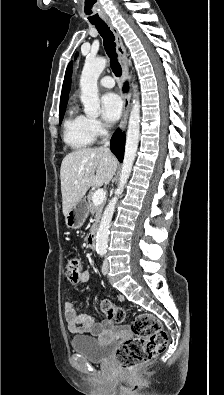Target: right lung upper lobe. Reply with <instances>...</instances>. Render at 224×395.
<instances>
[{"mask_svg": "<svg viewBox=\"0 0 224 395\" xmlns=\"http://www.w3.org/2000/svg\"><path fill=\"white\" fill-rule=\"evenodd\" d=\"M70 71H71V63L68 65L65 78L62 86V94L60 99V110L65 109L68 101V92H69V78H70Z\"/></svg>", "mask_w": 224, "mask_h": 395, "instance_id": "cb5924a9", "label": "right lung upper lobe"}]
</instances>
